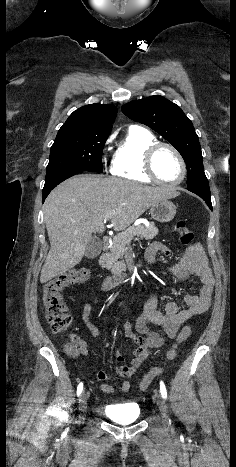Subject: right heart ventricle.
Here are the masks:
<instances>
[{
    "instance_id": "right-heart-ventricle-1",
    "label": "right heart ventricle",
    "mask_w": 236,
    "mask_h": 467,
    "mask_svg": "<svg viewBox=\"0 0 236 467\" xmlns=\"http://www.w3.org/2000/svg\"><path fill=\"white\" fill-rule=\"evenodd\" d=\"M156 142H158L156 136L148 129L131 126L117 147L111 173L133 181L152 182L145 172L144 158L146 149Z\"/></svg>"
}]
</instances>
